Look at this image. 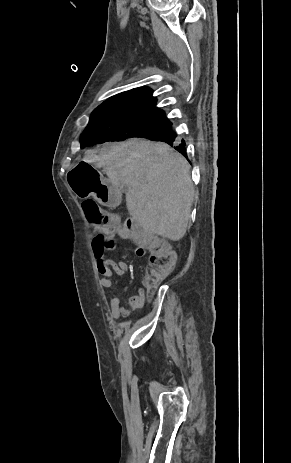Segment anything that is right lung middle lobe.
<instances>
[{"mask_svg": "<svg viewBox=\"0 0 291 463\" xmlns=\"http://www.w3.org/2000/svg\"><path fill=\"white\" fill-rule=\"evenodd\" d=\"M170 124L163 119L149 116L113 114L94 110L89 124L80 138L81 148L108 141H123L128 138H146L164 131Z\"/></svg>", "mask_w": 291, "mask_h": 463, "instance_id": "right-lung-middle-lobe-1", "label": "right lung middle lobe"}]
</instances>
